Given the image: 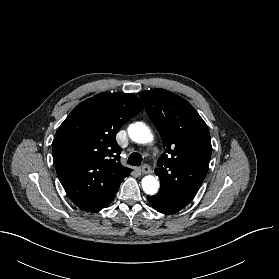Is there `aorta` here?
Here are the masks:
<instances>
[{"label": "aorta", "mask_w": 279, "mask_h": 279, "mask_svg": "<svg viewBox=\"0 0 279 279\" xmlns=\"http://www.w3.org/2000/svg\"><path fill=\"white\" fill-rule=\"evenodd\" d=\"M129 137L137 143L145 144L152 140L149 128L141 122L131 124L128 127ZM142 188L146 194L153 195L158 191L159 181L152 175H147L142 179Z\"/></svg>", "instance_id": "aorta-1"}]
</instances>
